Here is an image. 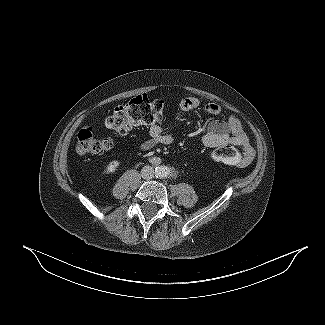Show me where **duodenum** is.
Here are the masks:
<instances>
[{"label": "duodenum", "mask_w": 325, "mask_h": 325, "mask_svg": "<svg viewBox=\"0 0 325 325\" xmlns=\"http://www.w3.org/2000/svg\"><path fill=\"white\" fill-rule=\"evenodd\" d=\"M152 162L154 164H159L160 163V159L159 158H152Z\"/></svg>", "instance_id": "duodenum-1"}]
</instances>
